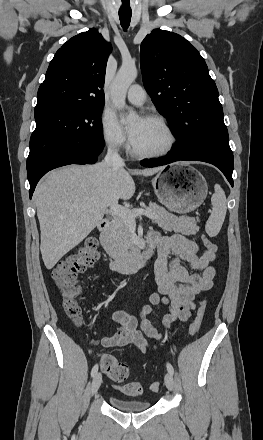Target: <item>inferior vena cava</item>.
I'll list each match as a JSON object with an SVG mask.
<instances>
[{
  "label": "inferior vena cava",
  "mask_w": 263,
  "mask_h": 440,
  "mask_svg": "<svg viewBox=\"0 0 263 440\" xmlns=\"http://www.w3.org/2000/svg\"><path fill=\"white\" fill-rule=\"evenodd\" d=\"M105 163L111 168H121L124 166V161L118 154V150L111 146L108 148Z\"/></svg>",
  "instance_id": "602c4592"
}]
</instances>
